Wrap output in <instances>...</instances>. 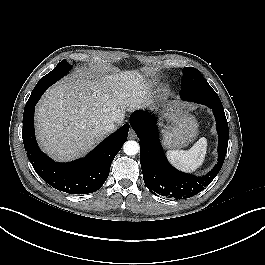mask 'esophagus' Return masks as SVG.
<instances>
[{
    "instance_id": "esophagus-1",
    "label": "esophagus",
    "mask_w": 265,
    "mask_h": 265,
    "mask_svg": "<svg viewBox=\"0 0 265 265\" xmlns=\"http://www.w3.org/2000/svg\"><path fill=\"white\" fill-rule=\"evenodd\" d=\"M128 137L130 139H135L136 138V133H135V131L132 128H130V130H129Z\"/></svg>"
}]
</instances>
